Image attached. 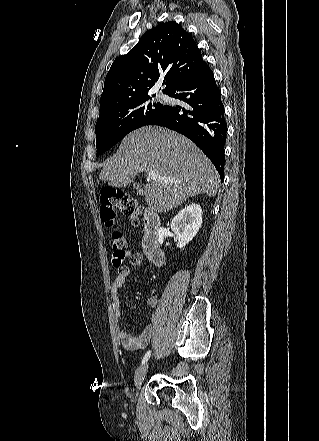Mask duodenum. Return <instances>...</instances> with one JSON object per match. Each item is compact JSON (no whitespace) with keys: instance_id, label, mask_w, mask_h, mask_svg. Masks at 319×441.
<instances>
[{"instance_id":"duodenum-1","label":"duodenum","mask_w":319,"mask_h":441,"mask_svg":"<svg viewBox=\"0 0 319 441\" xmlns=\"http://www.w3.org/2000/svg\"><path fill=\"white\" fill-rule=\"evenodd\" d=\"M144 234H143V250L148 260L160 266L165 262L164 251L160 245L159 230L161 222L159 215L150 208L144 209Z\"/></svg>"}]
</instances>
